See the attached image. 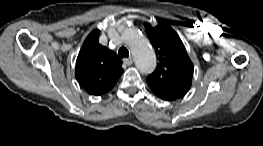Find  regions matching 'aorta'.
Returning a JSON list of instances; mask_svg holds the SVG:
<instances>
[{
	"label": "aorta",
	"instance_id": "obj_1",
	"mask_svg": "<svg viewBox=\"0 0 263 146\" xmlns=\"http://www.w3.org/2000/svg\"><path fill=\"white\" fill-rule=\"evenodd\" d=\"M122 37L134 55L137 68L145 74L151 73L156 67V57L148 40L135 28L125 30Z\"/></svg>",
	"mask_w": 263,
	"mask_h": 146
}]
</instances>
